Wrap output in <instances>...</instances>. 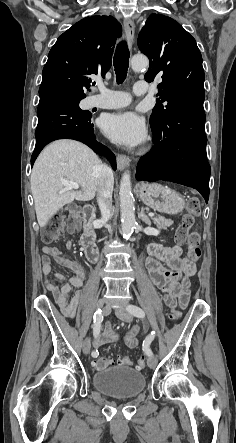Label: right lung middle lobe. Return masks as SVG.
I'll return each mask as SVG.
<instances>
[{"label": "right lung middle lobe", "instance_id": "dd1d6c3e", "mask_svg": "<svg viewBox=\"0 0 236 443\" xmlns=\"http://www.w3.org/2000/svg\"><path fill=\"white\" fill-rule=\"evenodd\" d=\"M61 96L74 101L77 105L79 104V101L85 97V96H75V95H61Z\"/></svg>", "mask_w": 236, "mask_h": 443}]
</instances>
